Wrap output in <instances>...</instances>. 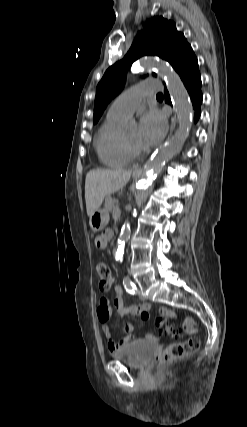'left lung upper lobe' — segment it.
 <instances>
[{
  "label": "left lung upper lobe",
  "instance_id": "5c2ea615",
  "mask_svg": "<svg viewBox=\"0 0 247 427\" xmlns=\"http://www.w3.org/2000/svg\"><path fill=\"white\" fill-rule=\"evenodd\" d=\"M144 55H156L179 69L195 54L173 21L163 17L149 20L139 32L125 57L105 72L96 89L93 122L96 123L107 104L123 88L126 72L134 61ZM155 75V74H153Z\"/></svg>",
  "mask_w": 247,
  "mask_h": 427
}]
</instances>
